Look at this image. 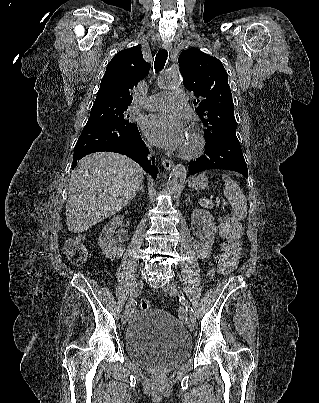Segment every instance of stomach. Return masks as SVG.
<instances>
[{"instance_id":"obj_1","label":"stomach","mask_w":319,"mask_h":403,"mask_svg":"<svg viewBox=\"0 0 319 403\" xmlns=\"http://www.w3.org/2000/svg\"><path fill=\"white\" fill-rule=\"evenodd\" d=\"M189 185L195 190H203L208 186V179L203 175H197L190 179Z\"/></svg>"}]
</instances>
